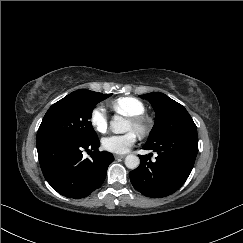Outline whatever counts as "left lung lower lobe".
Wrapping results in <instances>:
<instances>
[{
  "mask_svg": "<svg viewBox=\"0 0 243 243\" xmlns=\"http://www.w3.org/2000/svg\"><path fill=\"white\" fill-rule=\"evenodd\" d=\"M145 150L157 152L156 161L140 155V165L130 172L133 187L148 197H165L186 181L198 153L197 130L187 131L160 143L145 144Z\"/></svg>",
  "mask_w": 243,
  "mask_h": 243,
  "instance_id": "obj_1",
  "label": "left lung lower lobe"
}]
</instances>
